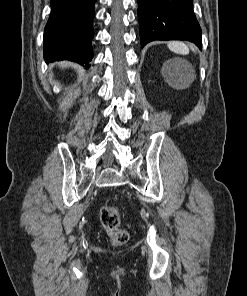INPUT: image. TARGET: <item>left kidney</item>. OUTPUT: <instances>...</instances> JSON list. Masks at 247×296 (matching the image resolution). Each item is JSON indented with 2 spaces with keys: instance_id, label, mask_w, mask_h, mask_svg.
Masks as SVG:
<instances>
[{
  "instance_id": "1",
  "label": "left kidney",
  "mask_w": 247,
  "mask_h": 296,
  "mask_svg": "<svg viewBox=\"0 0 247 296\" xmlns=\"http://www.w3.org/2000/svg\"><path fill=\"white\" fill-rule=\"evenodd\" d=\"M168 65H169L170 67H172V68H178V67H180L179 62L176 61V60H170V61H168Z\"/></svg>"
}]
</instances>
